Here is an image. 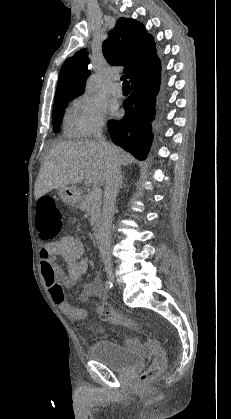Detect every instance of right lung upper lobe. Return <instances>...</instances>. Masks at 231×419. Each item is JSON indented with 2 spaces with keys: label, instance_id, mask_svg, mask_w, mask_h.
<instances>
[{
  "label": "right lung upper lobe",
  "instance_id": "1",
  "mask_svg": "<svg viewBox=\"0 0 231 419\" xmlns=\"http://www.w3.org/2000/svg\"><path fill=\"white\" fill-rule=\"evenodd\" d=\"M102 51L111 65L125 66L124 72L130 79L159 59L153 37L146 32L144 26L134 19L124 17L119 18L109 32ZM87 54L86 49H81L64 62L58 78L55 102L77 97L84 92L85 80L90 75Z\"/></svg>",
  "mask_w": 231,
  "mask_h": 419
}]
</instances>
